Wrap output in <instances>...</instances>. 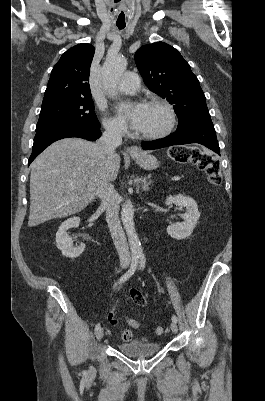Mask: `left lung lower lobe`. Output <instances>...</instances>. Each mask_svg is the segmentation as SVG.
<instances>
[{"label":"left lung lower lobe","instance_id":"obj_1","mask_svg":"<svg viewBox=\"0 0 265 401\" xmlns=\"http://www.w3.org/2000/svg\"><path fill=\"white\" fill-rule=\"evenodd\" d=\"M199 143L220 154L216 132L211 118L197 119L177 128L176 132L162 139L142 142L144 150L172 145Z\"/></svg>","mask_w":265,"mask_h":401}]
</instances>
